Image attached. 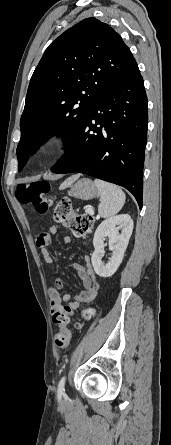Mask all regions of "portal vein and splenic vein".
I'll use <instances>...</instances> for the list:
<instances>
[{
  "label": "portal vein and splenic vein",
  "mask_w": 171,
  "mask_h": 445,
  "mask_svg": "<svg viewBox=\"0 0 171 445\" xmlns=\"http://www.w3.org/2000/svg\"><path fill=\"white\" fill-rule=\"evenodd\" d=\"M86 213H88V214H90V215H93V214H94V210H93L92 208H88V209L86 210Z\"/></svg>",
  "instance_id": "1"
}]
</instances>
